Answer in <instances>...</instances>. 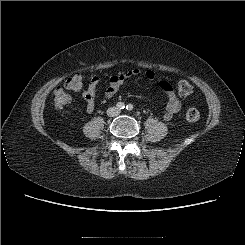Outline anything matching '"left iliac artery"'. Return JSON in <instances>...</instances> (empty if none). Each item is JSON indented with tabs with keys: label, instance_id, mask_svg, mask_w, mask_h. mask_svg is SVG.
I'll return each mask as SVG.
<instances>
[{
	"label": "left iliac artery",
	"instance_id": "obj_1",
	"mask_svg": "<svg viewBox=\"0 0 245 245\" xmlns=\"http://www.w3.org/2000/svg\"><path fill=\"white\" fill-rule=\"evenodd\" d=\"M126 109H127L128 111L133 110V105H132V104H128V105L126 106Z\"/></svg>",
	"mask_w": 245,
	"mask_h": 245
}]
</instances>
